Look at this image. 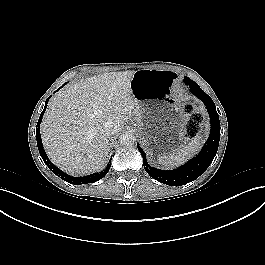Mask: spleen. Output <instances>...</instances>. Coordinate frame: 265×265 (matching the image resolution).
Wrapping results in <instances>:
<instances>
[{"mask_svg": "<svg viewBox=\"0 0 265 265\" xmlns=\"http://www.w3.org/2000/svg\"><path fill=\"white\" fill-rule=\"evenodd\" d=\"M200 137H195L185 146H180L174 152L159 156V162L167 168L178 166L187 161L193 154L198 152L201 147Z\"/></svg>", "mask_w": 265, "mask_h": 265, "instance_id": "spleen-1", "label": "spleen"}]
</instances>
